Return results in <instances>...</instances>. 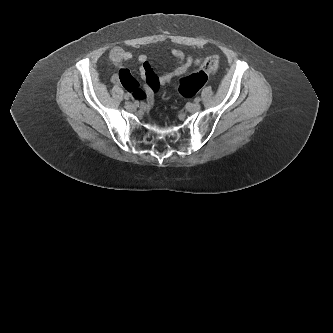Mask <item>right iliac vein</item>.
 Returning <instances> with one entry per match:
<instances>
[{"mask_svg":"<svg viewBox=\"0 0 333 333\" xmlns=\"http://www.w3.org/2000/svg\"><path fill=\"white\" fill-rule=\"evenodd\" d=\"M125 108L129 111H134L135 110V105L132 104L131 102H126L125 103Z\"/></svg>","mask_w":333,"mask_h":333,"instance_id":"1","label":"right iliac vein"}]
</instances>
